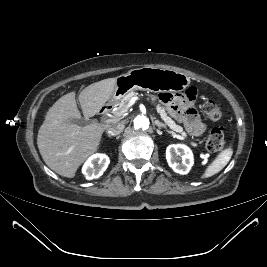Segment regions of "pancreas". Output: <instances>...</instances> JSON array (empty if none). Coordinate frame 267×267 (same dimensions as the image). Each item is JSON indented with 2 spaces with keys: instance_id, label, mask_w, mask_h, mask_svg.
<instances>
[{
  "instance_id": "cf45deb5",
  "label": "pancreas",
  "mask_w": 267,
  "mask_h": 267,
  "mask_svg": "<svg viewBox=\"0 0 267 267\" xmlns=\"http://www.w3.org/2000/svg\"><path fill=\"white\" fill-rule=\"evenodd\" d=\"M137 96V93L131 91L127 95H125L121 100L115 102V106H117V109L114 113H120L124 114L128 110V103L129 101ZM157 111L160 113L161 118L164 120V122L169 126L170 129L173 131L180 133L182 137H186L187 134L185 131H183V128L175 123L165 112V109L160 106L159 104L157 105Z\"/></svg>"
}]
</instances>
